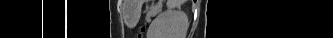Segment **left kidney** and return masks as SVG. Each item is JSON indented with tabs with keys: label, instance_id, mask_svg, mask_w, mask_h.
<instances>
[{
	"label": "left kidney",
	"instance_id": "obj_1",
	"mask_svg": "<svg viewBox=\"0 0 333 38\" xmlns=\"http://www.w3.org/2000/svg\"><path fill=\"white\" fill-rule=\"evenodd\" d=\"M188 17L181 10H167L151 23L148 38H186Z\"/></svg>",
	"mask_w": 333,
	"mask_h": 38
}]
</instances>
